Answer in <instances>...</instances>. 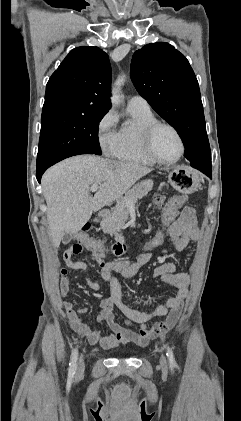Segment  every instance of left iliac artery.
Wrapping results in <instances>:
<instances>
[{
	"instance_id": "1",
	"label": "left iliac artery",
	"mask_w": 241,
	"mask_h": 421,
	"mask_svg": "<svg viewBox=\"0 0 241 421\" xmlns=\"http://www.w3.org/2000/svg\"><path fill=\"white\" fill-rule=\"evenodd\" d=\"M167 357H168L170 366L175 367L176 362H175V359H174L173 352H172L171 348H169V346L167 347Z\"/></svg>"
}]
</instances>
